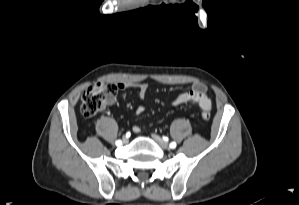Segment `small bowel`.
I'll list each match as a JSON object with an SVG mask.
<instances>
[{"instance_id": "obj_1", "label": "small bowel", "mask_w": 299, "mask_h": 205, "mask_svg": "<svg viewBox=\"0 0 299 205\" xmlns=\"http://www.w3.org/2000/svg\"><path fill=\"white\" fill-rule=\"evenodd\" d=\"M119 89L134 88L138 90V94L141 100L147 98L148 93V84L146 83H127L121 82L117 84ZM170 102L173 106L180 105H191L197 104L201 109L209 111L212 107L211 100L206 93V87L202 83H193L190 90L182 92L170 99ZM145 111L143 105H139L136 108V115H140ZM134 133H139L141 131L140 126L134 125L132 128Z\"/></svg>"}]
</instances>
